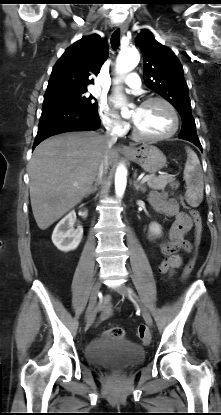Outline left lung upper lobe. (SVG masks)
Returning a JSON list of instances; mask_svg holds the SVG:
<instances>
[{
    "label": "left lung upper lobe",
    "mask_w": 221,
    "mask_h": 415,
    "mask_svg": "<svg viewBox=\"0 0 221 415\" xmlns=\"http://www.w3.org/2000/svg\"><path fill=\"white\" fill-rule=\"evenodd\" d=\"M136 44L144 58L145 85L177 109L182 128L196 129L183 68L174 52L157 42L148 30L139 33Z\"/></svg>",
    "instance_id": "1"
}]
</instances>
